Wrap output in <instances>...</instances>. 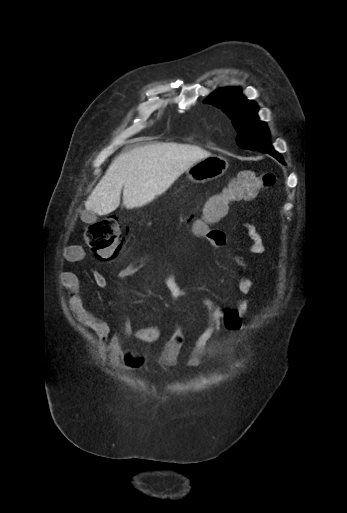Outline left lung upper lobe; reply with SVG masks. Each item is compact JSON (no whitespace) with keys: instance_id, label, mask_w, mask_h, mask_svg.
<instances>
[{"instance_id":"1","label":"left lung upper lobe","mask_w":347,"mask_h":513,"mask_svg":"<svg viewBox=\"0 0 347 513\" xmlns=\"http://www.w3.org/2000/svg\"><path fill=\"white\" fill-rule=\"evenodd\" d=\"M204 103L222 108L233 120V125L238 132L239 146L269 154L275 152L269 140V130L266 124L258 118V106L247 100L238 88L216 91Z\"/></svg>"}]
</instances>
